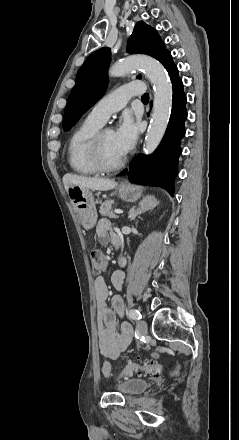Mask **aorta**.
Returning a JSON list of instances; mask_svg holds the SVG:
<instances>
[{"label":"aorta","instance_id":"aorta-1","mask_svg":"<svg viewBox=\"0 0 239 440\" xmlns=\"http://www.w3.org/2000/svg\"><path fill=\"white\" fill-rule=\"evenodd\" d=\"M143 68L145 76L154 84V108L150 128L144 142V154H152L161 142L167 128L172 108V86L167 80L165 68L160 62L149 56H130L115 64L109 70V76L122 78L131 70Z\"/></svg>","mask_w":239,"mask_h":440}]
</instances>
